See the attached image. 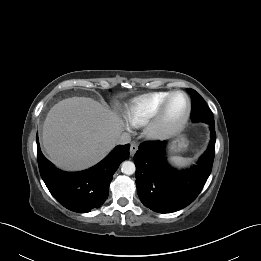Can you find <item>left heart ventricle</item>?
Masks as SVG:
<instances>
[{
  "instance_id": "b2bd125f",
  "label": "left heart ventricle",
  "mask_w": 261,
  "mask_h": 261,
  "mask_svg": "<svg viewBox=\"0 0 261 261\" xmlns=\"http://www.w3.org/2000/svg\"><path fill=\"white\" fill-rule=\"evenodd\" d=\"M187 102L184 96L176 95L170 102L166 122L168 125H173L182 119L186 112Z\"/></svg>"
}]
</instances>
